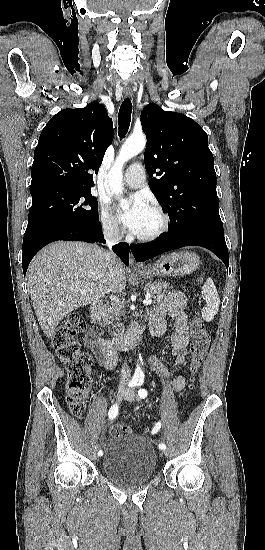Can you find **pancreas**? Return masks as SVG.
Here are the masks:
<instances>
[{"label": "pancreas", "instance_id": "1", "mask_svg": "<svg viewBox=\"0 0 265 550\" xmlns=\"http://www.w3.org/2000/svg\"><path fill=\"white\" fill-rule=\"evenodd\" d=\"M169 283L166 282H149L145 285L146 292L150 293L153 298L154 302H160L165 294L168 292ZM124 305L121 303H107L104 305L100 311L99 315V321L104 325L108 326L111 323L115 322L114 326L118 327L117 329L118 333H122L124 331V327L122 324H119L120 317L123 315Z\"/></svg>", "mask_w": 265, "mask_h": 550}]
</instances>
